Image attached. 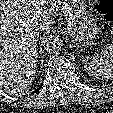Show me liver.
<instances>
[{"label": "liver", "instance_id": "liver-1", "mask_svg": "<svg viewBox=\"0 0 113 113\" xmlns=\"http://www.w3.org/2000/svg\"><path fill=\"white\" fill-rule=\"evenodd\" d=\"M62 0H0V88L27 94L36 75L38 36Z\"/></svg>", "mask_w": 113, "mask_h": 113}]
</instances>
